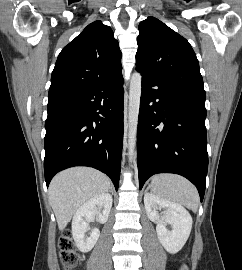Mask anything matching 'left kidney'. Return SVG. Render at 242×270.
Masks as SVG:
<instances>
[{"instance_id":"1","label":"left kidney","mask_w":242,"mask_h":270,"mask_svg":"<svg viewBox=\"0 0 242 270\" xmlns=\"http://www.w3.org/2000/svg\"><path fill=\"white\" fill-rule=\"evenodd\" d=\"M144 205L148 218L156 221V232L167 252L175 254L186 243L192 228L189 212L175 202L167 201L152 193H145ZM164 209L163 212L158 210ZM171 225V230L167 225Z\"/></svg>"}]
</instances>
